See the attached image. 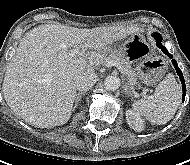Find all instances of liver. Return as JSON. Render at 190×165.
Instances as JSON below:
<instances>
[{
  "label": "liver",
  "mask_w": 190,
  "mask_h": 165,
  "mask_svg": "<svg viewBox=\"0 0 190 165\" xmlns=\"http://www.w3.org/2000/svg\"><path fill=\"white\" fill-rule=\"evenodd\" d=\"M135 31L134 27L80 29L59 23L28 31L7 65L2 87L6 103L35 127L65 124L73 111L77 76L94 72L104 61L105 48ZM72 48L93 51L71 56Z\"/></svg>",
  "instance_id": "1"
}]
</instances>
